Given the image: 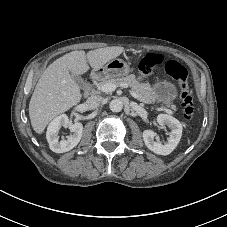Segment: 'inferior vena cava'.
I'll return each instance as SVG.
<instances>
[{"label":"inferior vena cava","instance_id":"inferior-vena-cava-1","mask_svg":"<svg viewBox=\"0 0 227 227\" xmlns=\"http://www.w3.org/2000/svg\"><path fill=\"white\" fill-rule=\"evenodd\" d=\"M102 102V97L99 95H91L87 98L85 102V106L88 110H95L97 109Z\"/></svg>","mask_w":227,"mask_h":227}]
</instances>
